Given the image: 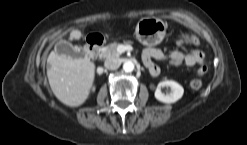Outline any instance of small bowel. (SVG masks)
<instances>
[{"label": "small bowel", "instance_id": "c3829d8e", "mask_svg": "<svg viewBox=\"0 0 247 145\" xmlns=\"http://www.w3.org/2000/svg\"><path fill=\"white\" fill-rule=\"evenodd\" d=\"M199 38L194 34H185L179 36V38L174 42L177 47L184 44H191L194 46L199 45ZM154 60H168L173 66H203L205 63V54L200 50H195L192 52H181L179 50H174L168 55H166L161 49L158 48H147L143 52V61L148 68L152 76H157L160 73L158 66L154 63Z\"/></svg>", "mask_w": 247, "mask_h": 145}]
</instances>
